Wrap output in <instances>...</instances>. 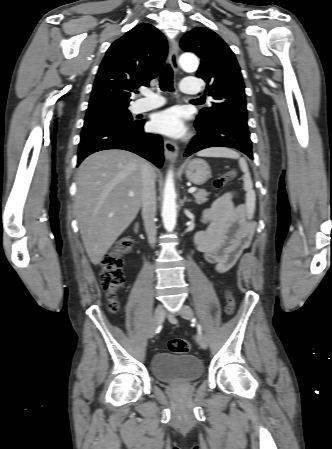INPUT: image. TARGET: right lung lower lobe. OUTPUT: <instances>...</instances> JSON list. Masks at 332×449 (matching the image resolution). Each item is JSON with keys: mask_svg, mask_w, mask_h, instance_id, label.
<instances>
[{"mask_svg": "<svg viewBox=\"0 0 332 449\" xmlns=\"http://www.w3.org/2000/svg\"><path fill=\"white\" fill-rule=\"evenodd\" d=\"M145 120L130 126H97L82 130L78 149V163L88 155L107 149H123L136 153L161 168L163 142L159 135L144 132Z\"/></svg>", "mask_w": 332, "mask_h": 449, "instance_id": "right-lung-lower-lobe-1", "label": "right lung lower lobe"}]
</instances>
